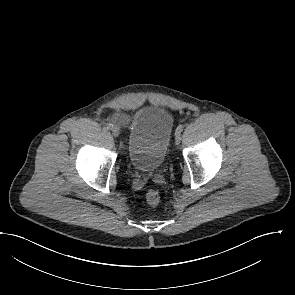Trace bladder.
<instances>
[{
	"mask_svg": "<svg viewBox=\"0 0 295 295\" xmlns=\"http://www.w3.org/2000/svg\"><path fill=\"white\" fill-rule=\"evenodd\" d=\"M173 131L171 113L148 105L135 114L128 132L127 151L131 164L140 171H156L163 164Z\"/></svg>",
	"mask_w": 295,
	"mask_h": 295,
	"instance_id": "1",
	"label": "bladder"
}]
</instances>
